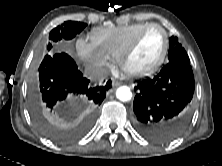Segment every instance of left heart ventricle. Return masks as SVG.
<instances>
[{
	"instance_id": "b2bd125f",
	"label": "left heart ventricle",
	"mask_w": 222,
	"mask_h": 166,
	"mask_svg": "<svg viewBox=\"0 0 222 166\" xmlns=\"http://www.w3.org/2000/svg\"><path fill=\"white\" fill-rule=\"evenodd\" d=\"M163 45V33L156 28L148 30L127 59V67L131 70H144L151 67L158 60Z\"/></svg>"
}]
</instances>
